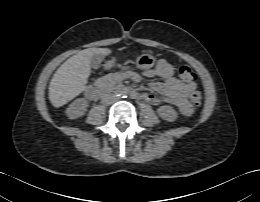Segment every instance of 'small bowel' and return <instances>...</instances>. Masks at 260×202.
Here are the masks:
<instances>
[{"instance_id": "1", "label": "small bowel", "mask_w": 260, "mask_h": 202, "mask_svg": "<svg viewBox=\"0 0 260 202\" xmlns=\"http://www.w3.org/2000/svg\"><path fill=\"white\" fill-rule=\"evenodd\" d=\"M115 61L110 60L105 64V69H109L114 65ZM144 75L148 77L158 76L161 78L159 82L150 84L151 91L140 92L139 99H143L153 105H160L163 102L176 106L179 112L184 116H190L193 113V107L187 100V95L192 92L196 84L182 83L174 77V67L165 59L158 61L154 69L144 71ZM124 79H131L135 82L140 80V75L135 72L111 73L100 78L97 83L109 81L116 83ZM154 92L160 94L157 96Z\"/></svg>"}]
</instances>
